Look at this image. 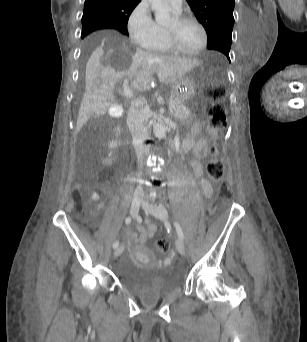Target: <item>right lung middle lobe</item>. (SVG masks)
<instances>
[{
  "mask_svg": "<svg viewBox=\"0 0 307 342\" xmlns=\"http://www.w3.org/2000/svg\"><path fill=\"white\" fill-rule=\"evenodd\" d=\"M108 27V22L105 17L101 14L95 12L83 13L82 17V34L81 37L84 38L90 32L95 30L104 29ZM123 34L128 35V31H121Z\"/></svg>",
  "mask_w": 307,
  "mask_h": 342,
  "instance_id": "1",
  "label": "right lung middle lobe"
}]
</instances>
